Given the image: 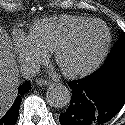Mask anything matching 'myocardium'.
<instances>
[{
  "instance_id": "f54148a6",
  "label": "myocardium",
  "mask_w": 125,
  "mask_h": 125,
  "mask_svg": "<svg viewBox=\"0 0 125 125\" xmlns=\"http://www.w3.org/2000/svg\"><path fill=\"white\" fill-rule=\"evenodd\" d=\"M92 25H100L102 26L104 32H105V40L102 46L101 51L99 52L98 56L92 60L90 63L76 69V70H66L62 67L60 59L62 52L72 43L75 41L77 36L86 28L92 26ZM112 41V36L109 27L101 20L98 19H89L83 24L75 27L73 30H71L65 37H63L54 47L53 50V58L56 63V65L59 67L62 74L70 79H76L80 77H84L92 72H94L96 69H98L101 64L104 62L105 58L108 55L110 45Z\"/></svg>"
}]
</instances>
